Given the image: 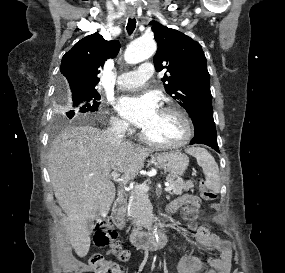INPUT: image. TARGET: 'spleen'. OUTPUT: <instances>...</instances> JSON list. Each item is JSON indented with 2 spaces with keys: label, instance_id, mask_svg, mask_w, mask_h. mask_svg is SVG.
Masks as SVG:
<instances>
[{
  "label": "spleen",
  "instance_id": "1",
  "mask_svg": "<svg viewBox=\"0 0 285 273\" xmlns=\"http://www.w3.org/2000/svg\"><path fill=\"white\" fill-rule=\"evenodd\" d=\"M187 152L197 159L198 165L203 169L206 177V186L214 192L220 190V175L218 164L214 157L204 148L192 147Z\"/></svg>",
  "mask_w": 285,
  "mask_h": 273
}]
</instances>
